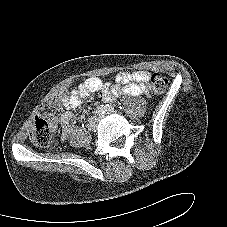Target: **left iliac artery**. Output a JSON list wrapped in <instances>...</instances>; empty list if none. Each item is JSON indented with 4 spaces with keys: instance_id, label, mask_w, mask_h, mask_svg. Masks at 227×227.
I'll use <instances>...</instances> for the list:
<instances>
[{
    "instance_id": "left-iliac-artery-1",
    "label": "left iliac artery",
    "mask_w": 227,
    "mask_h": 227,
    "mask_svg": "<svg viewBox=\"0 0 227 227\" xmlns=\"http://www.w3.org/2000/svg\"><path fill=\"white\" fill-rule=\"evenodd\" d=\"M105 111H106V113L110 114V113L114 112V108L111 105L107 104L105 106Z\"/></svg>"
}]
</instances>
